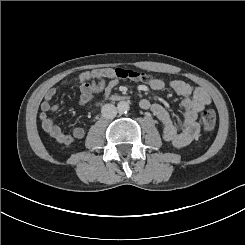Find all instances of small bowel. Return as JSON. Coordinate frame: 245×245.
Masks as SVG:
<instances>
[{
    "mask_svg": "<svg viewBox=\"0 0 245 245\" xmlns=\"http://www.w3.org/2000/svg\"><path fill=\"white\" fill-rule=\"evenodd\" d=\"M80 98L79 106H83L95 97L106 98L112 89L119 84V78L114 75V69L103 68L83 73L80 76ZM150 88L154 91H162L170 87L176 94L183 96L181 107L183 118L175 123L168 111L157 103L148 100L141 101V107L150 110L163 124L162 136L167 142L175 147L181 148L194 140L200 132L198 114L207 105L211 98L203 88H193L183 80L174 79L166 82L163 79L154 78L150 81ZM56 95V89H48L40 105V122L42 129L54 140L61 144H70L74 140L84 137V130L81 127H73L70 132H65L59 125L53 122L49 113L56 111L58 105L52 102Z\"/></svg>",
    "mask_w": 245,
    "mask_h": 245,
    "instance_id": "1",
    "label": "small bowel"
}]
</instances>
